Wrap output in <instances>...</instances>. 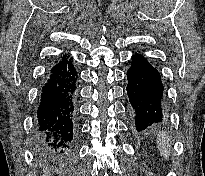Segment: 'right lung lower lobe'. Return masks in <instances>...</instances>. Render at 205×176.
Segmentation results:
<instances>
[{"label":"right lung lower lobe","instance_id":"98d812e1","mask_svg":"<svg viewBox=\"0 0 205 176\" xmlns=\"http://www.w3.org/2000/svg\"><path fill=\"white\" fill-rule=\"evenodd\" d=\"M77 72L70 58L52 68L43 86L37 110L36 148L70 155L75 150Z\"/></svg>","mask_w":205,"mask_h":176}]
</instances>
